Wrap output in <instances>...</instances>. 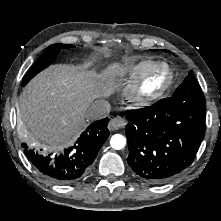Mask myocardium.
I'll return each mask as SVG.
<instances>
[{
  "label": "myocardium",
  "instance_id": "1",
  "mask_svg": "<svg viewBox=\"0 0 221 221\" xmlns=\"http://www.w3.org/2000/svg\"><path fill=\"white\" fill-rule=\"evenodd\" d=\"M160 76L161 82L152 84V80ZM174 81L173 70L164 63H154L140 76L134 79L127 90V97L137 106L153 103L165 94Z\"/></svg>",
  "mask_w": 221,
  "mask_h": 221
}]
</instances>
